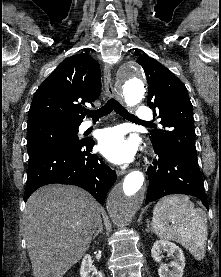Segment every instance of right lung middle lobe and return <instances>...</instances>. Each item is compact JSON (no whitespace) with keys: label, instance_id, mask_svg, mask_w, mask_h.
<instances>
[{"label":"right lung middle lobe","instance_id":"1","mask_svg":"<svg viewBox=\"0 0 221 277\" xmlns=\"http://www.w3.org/2000/svg\"><path fill=\"white\" fill-rule=\"evenodd\" d=\"M79 125L60 122H45L28 125L27 151L29 157L55 147L66 146L80 141Z\"/></svg>","mask_w":221,"mask_h":277}]
</instances>
